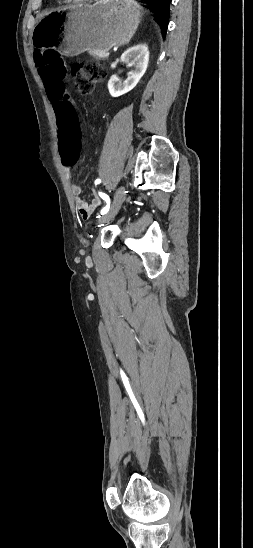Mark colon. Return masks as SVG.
<instances>
[{"mask_svg":"<svg viewBox=\"0 0 253 548\" xmlns=\"http://www.w3.org/2000/svg\"><path fill=\"white\" fill-rule=\"evenodd\" d=\"M37 74H41L44 83L43 93L48 96V104L53 105V112L61 143V157L64 166H72L79 159L78 137L82 136L79 126V105L72 98V83L68 76L67 60H56L60 57L54 51L38 49ZM71 72L75 87L79 94H90L95 85L100 82L105 73L102 68L90 62H78L72 65Z\"/></svg>","mask_w":253,"mask_h":548,"instance_id":"colon-1","label":"colon"}]
</instances>
